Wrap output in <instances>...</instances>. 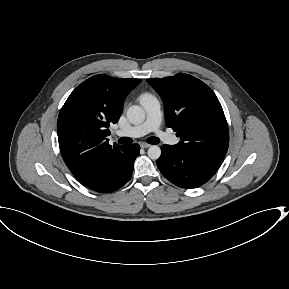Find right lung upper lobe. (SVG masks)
<instances>
[{
    "label": "right lung upper lobe",
    "instance_id": "cb5924a9",
    "mask_svg": "<svg viewBox=\"0 0 289 289\" xmlns=\"http://www.w3.org/2000/svg\"><path fill=\"white\" fill-rule=\"evenodd\" d=\"M140 82L95 75L81 83L63 105L57 122L59 147L66 165L81 183L100 177L123 149V145H109L108 127L119 120L125 97Z\"/></svg>",
    "mask_w": 289,
    "mask_h": 289
}]
</instances>
